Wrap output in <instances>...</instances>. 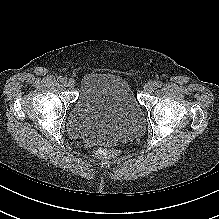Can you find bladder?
<instances>
[{"label":"bladder","instance_id":"obj_1","mask_svg":"<svg viewBox=\"0 0 219 219\" xmlns=\"http://www.w3.org/2000/svg\"><path fill=\"white\" fill-rule=\"evenodd\" d=\"M145 123L142 105L120 75L90 72L80 80L77 99L66 116L76 139L109 143L140 132Z\"/></svg>","mask_w":219,"mask_h":219}]
</instances>
